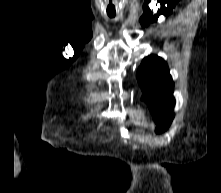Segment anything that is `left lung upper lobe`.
<instances>
[{"mask_svg": "<svg viewBox=\"0 0 221 193\" xmlns=\"http://www.w3.org/2000/svg\"><path fill=\"white\" fill-rule=\"evenodd\" d=\"M137 79L143 99L158 124L156 132L161 133L170 126L175 105L173 81L167 63L155 55L146 57L138 69Z\"/></svg>", "mask_w": 221, "mask_h": 193, "instance_id": "1", "label": "left lung upper lobe"}]
</instances>
